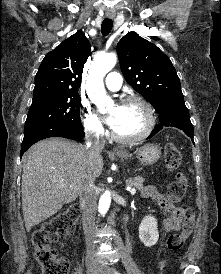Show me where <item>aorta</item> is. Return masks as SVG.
Returning a JSON list of instances; mask_svg holds the SVG:
<instances>
[{"mask_svg":"<svg viewBox=\"0 0 221 274\" xmlns=\"http://www.w3.org/2000/svg\"><path fill=\"white\" fill-rule=\"evenodd\" d=\"M117 57L115 54H107L97 57L89 71L87 78V93L93 103L100 109L104 108L110 99L106 96L103 78L115 66ZM111 203L109 191H105L99 200V213L105 215Z\"/></svg>","mask_w":221,"mask_h":274,"instance_id":"1","label":"aorta"}]
</instances>
